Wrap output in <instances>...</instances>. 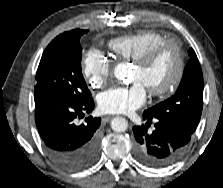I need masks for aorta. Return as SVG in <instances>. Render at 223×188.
<instances>
[{"label":"aorta","mask_w":223,"mask_h":188,"mask_svg":"<svg viewBox=\"0 0 223 188\" xmlns=\"http://www.w3.org/2000/svg\"><path fill=\"white\" fill-rule=\"evenodd\" d=\"M130 75V67L127 63H119L114 68V76L123 82H127ZM111 128L115 132H124L128 128V122L123 117H115L111 120Z\"/></svg>","instance_id":"1"}]
</instances>
